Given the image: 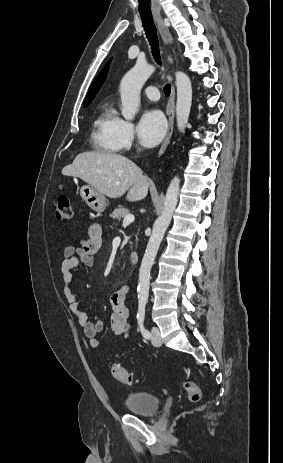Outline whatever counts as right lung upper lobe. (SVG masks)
I'll return each instance as SVG.
<instances>
[{
  "label": "right lung upper lobe",
  "instance_id": "1",
  "mask_svg": "<svg viewBox=\"0 0 283 463\" xmlns=\"http://www.w3.org/2000/svg\"><path fill=\"white\" fill-rule=\"evenodd\" d=\"M110 61L111 60L108 61V63L104 66V68L101 70V72L98 74V76L93 81V83H92V85L90 87V90H89V92H88V94L86 96V99L84 101V104H90L91 103V101L94 99L95 95L99 91L101 85L104 83L107 72H108V69H109Z\"/></svg>",
  "mask_w": 283,
  "mask_h": 463
}]
</instances>
